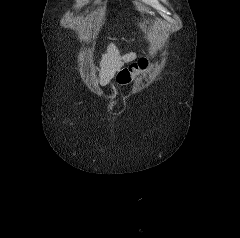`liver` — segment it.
<instances>
[{
	"label": "liver",
	"instance_id": "liver-1",
	"mask_svg": "<svg viewBox=\"0 0 240 238\" xmlns=\"http://www.w3.org/2000/svg\"><path fill=\"white\" fill-rule=\"evenodd\" d=\"M136 59L135 53H128L123 56L115 44L111 43L107 47V51L102 55L100 61L99 83L101 86L107 85L115 76L117 71H120L124 63Z\"/></svg>",
	"mask_w": 240,
	"mask_h": 238
}]
</instances>
